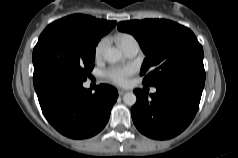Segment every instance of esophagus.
<instances>
[{"label": "esophagus", "mask_w": 238, "mask_h": 158, "mask_svg": "<svg viewBox=\"0 0 238 158\" xmlns=\"http://www.w3.org/2000/svg\"><path fill=\"white\" fill-rule=\"evenodd\" d=\"M126 93L125 90H118V94L119 96H123Z\"/></svg>", "instance_id": "1"}]
</instances>
